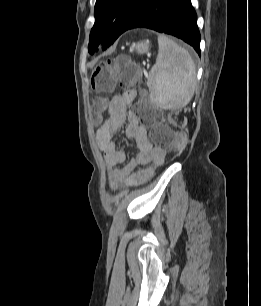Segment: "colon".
<instances>
[{
    "mask_svg": "<svg viewBox=\"0 0 261 306\" xmlns=\"http://www.w3.org/2000/svg\"><path fill=\"white\" fill-rule=\"evenodd\" d=\"M139 79L140 70L137 64L127 56H119L95 66L91 74V85L99 93L109 92L116 83L126 92H132ZM94 107L96 110L102 109L103 100L95 99ZM137 115L142 124L151 127V137L157 146L173 151L183 148L185 134L176 133L163 125L155 108L145 104L137 109Z\"/></svg>",
    "mask_w": 261,
    "mask_h": 306,
    "instance_id": "1",
    "label": "colon"
}]
</instances>
